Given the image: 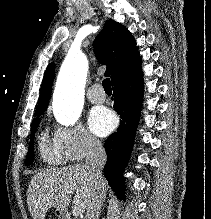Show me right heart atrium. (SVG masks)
Here are the masks:
<instances>
[{
  "instance_id": "right-heart-atrium-1",
  "label": "right heart atrium",
  "mask_w": 211,
  "mask_h": 219,
  "mask_svg": "<svg viewBox=\"0 0 211 219\" xmlns=\"http://www.w3.org/2000/svg\"><path fill=\"white\" fill-rule=\"evenodd\" d=\"M53 142L70 162L82 161L99 154L103 149L100 140L81 124L55 127Z\"/></svg>"
}]
</instances>
